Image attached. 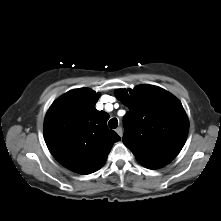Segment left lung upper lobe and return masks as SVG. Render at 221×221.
Returning <instances> with one entry per match:
<instances>
[{
	"label": "left lung upper lobe",
	"mask_w": 221,
	"mask_h": 221,
	"mask_svg": "<svg viewBox=\"0 0 221 221\" xmlns=\"http://www.w3.org/2000/svg\"><path fill=\"white\" fill-rule=\"evenodd\" d=\"M116 97L129 108L124 116V145L140 164H167L182 149L189 130L180 101L166 90L140 85L118 89Z\"/></svg>",
	"instance_id": "1"
}]
</instances>
